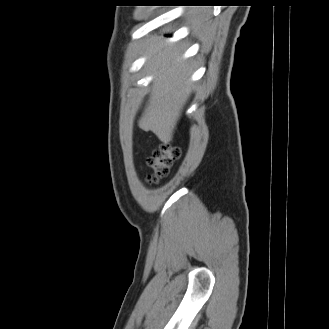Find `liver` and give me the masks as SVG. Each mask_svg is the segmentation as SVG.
I'll use <instances>...</instances> for the list:
<instances>
[{
  "instance_id": "obj_1",
  "label": "liver",
  "mask_w": 329,
  "mask_h": 329,
  "mask_svg": "<svg viewBox=\"0 0 329 329\" xmlns=\"http://www.w3.org/2000/svg\"><path fill=\"white\" fill-rule=\"evenodd\" d=\"M181 50L171 45L157 48L148 64L154 71L161 70L154 80L150 103L138 121L144 131H152L160 141L169 143L189 95L186 81L189 66L186 61L174 63Z\"/></svg>"
}]
</instances>
